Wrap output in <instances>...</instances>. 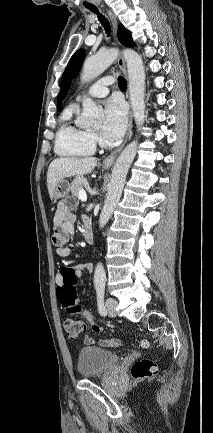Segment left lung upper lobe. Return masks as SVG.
<instances>
[{"label":"left lung upper lobe","mask_w":213,"mask_h":433,"mask_svg":"<svg viewBox=\"0 0 213 433\" xmlns=\"http://www.w3.org/2000/svg\"><path fill=\"white\" fill-rule=\"evenodd\" d=\"M118 38L119 41L127 47L134 46V42L132 40L130 32L127 29H125L123 25L118 26ZM84 58H85V50L81 49L75 52L74 55L69 60L61 80L60 92L57 98L58 108L60 107V103L62 102L65 94L69 90V85L72 77L74 76L75 73H77L80 70Z\"/></svg>","instance_id":"left-lung-upper-lobe-1"}]
</instances>
